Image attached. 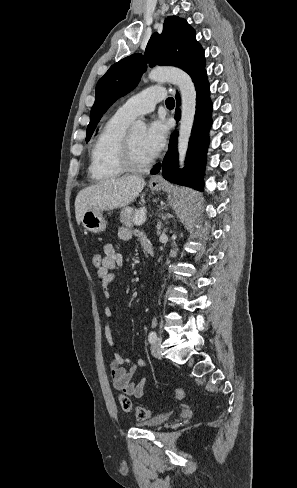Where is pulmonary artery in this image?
<instances>
[{
    "label": "pulmonary artery",
    "instance_id": "pulmonary-artery-1",
    "mask_svg": "<svg viewBox=\"0 0 297 488\" xmlns=\"http://www.w3.org/2000/svg\"><path fill=\"white\" fill-rule=\"evenodd\" d=\"M165 94V89L160 86L147 88L126 100L116 114L132 121L139 115L153 111L156 104L165 98Z\"/></svg>",
    "mask_w": 297,
    "mask_h": 488
}]
</instances>
